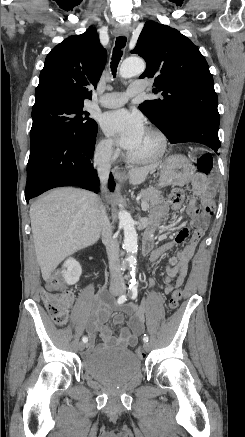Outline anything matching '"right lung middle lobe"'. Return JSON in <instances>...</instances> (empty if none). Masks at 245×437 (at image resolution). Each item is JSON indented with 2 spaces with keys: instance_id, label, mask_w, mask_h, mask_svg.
Wrapping results in <instances>:
<instances>
[{
  "instance_id": "1",
  "label": "right lung middle lobe",
  "mask_w": 245,
  "mask_h": 437,
  "mask_svg": "<svg viewBox=\"0 0 245 437\" xmlns=\"http://www.w3.org/2000/svg\"><path fill=\"white\" fill-rule=\"evenodd\" d=\"M33 124L30 144L46 134H57L69 141L90 138L97 131V123L83 111V104L50 102L32 107Z\"/></svg>"
}]
</instances>
